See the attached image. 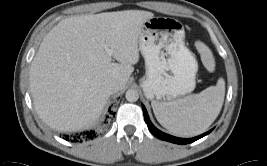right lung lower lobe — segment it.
Here are the masks:
<instances>
[{
	"label": "right lung lower lobe",
	"instance_id": "right-lung-lower-lobe-1",
	"mask_svg": "<svg viewBox=\"0 0 267 166\" xmlns=\"http://www.w3.org/2000/svg\"><path fill=\"white\" fill-rule=\"evenodd\" d=\"M109 117V116H107ZM94 131H85L76 135H65L66 140H71L72 142H82L83 139H92L94 136ZM96 136V135H95Z\"/></svg>",
	"mask_w": 267,
	"mask_h": 166
}]
</instances>
